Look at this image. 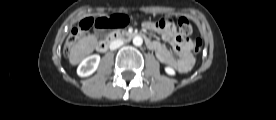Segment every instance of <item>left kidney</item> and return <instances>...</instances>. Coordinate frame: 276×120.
Masks as SVG:
<instances>
[{
  "label": "left kidney",
  "mask_w": 276,
  "mask_h": 120,
  "mask_svg": "<svg viewBox=\"0 0 276 120\" xmlns=\"http://www.w3.org/2000/svg\"><path fill=\"white\" fill-rule=\"evenodd\" d=\"M165 71H166V73L169 74V75H174V74H175L174 69L171 68V67H166V68H165Z\"/></svg>",
  "instance_id": "obj_1"
}]
</instances>
